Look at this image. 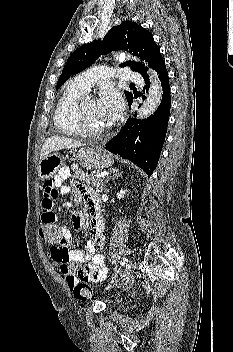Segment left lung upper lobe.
<instances>
[{"label":"left lung upper lobe","instance_id":"5c2ea615","mask_svg":"<svg viewBox=\"0 0 233 352\" xmlns=\"http://www.w3.org/2000/svg\"><path fill=\"white\" fill-rule=\"evenodd\" d=\"M125 50L148 62L149 66L157 69L163 61L160 49L154 41L153 35L140 25L124 21L112 27L103 40H97L78 48L68 59L57 83V89L71 76L77 74L95 62L101 54L111 51ZM129 66L133 71L147 77V68L140 62L126 61L120 67ZM129 101L133 98L131 92L125 91Z\"/></svg>","mask_w":233,"mask_h":352}]
</instances>
